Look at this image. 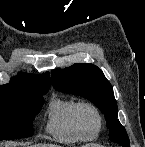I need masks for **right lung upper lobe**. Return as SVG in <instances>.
<instances>
[{"label":"right lung upper lobe","instance_id":"right-lung-upper-lobe-1","mask_svg":"<svg viewBox=\"0 0 145 147\" xmlns=\"http://www.w3.org/2000/svg\"><path fill=\"white\" fill-rule=\"evenodd\" d=\"M50 87V74L47 72L41 75L18 74L13 77L9 84L0 86V95L26 89H39Z\"/></svg>","mask_w":145,"mask_h":147}]
</instances>
